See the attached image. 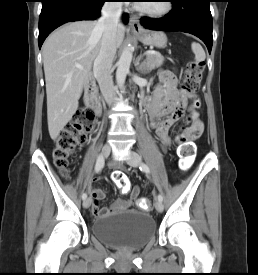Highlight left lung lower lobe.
Masks as SVG:
<instances>
[{
    "instance_id": "1",
    "label": "left lung lower lobe",
    "mask_w": 258,
    "mask_h": 275,
    "mask_svg": "<svg viewBox=\"0 0 258 275\" xmlns=\"http://www.w3.org/2000/svg\"><path fill=\"white\" fill-rule=\"evenodd\" d=\"M172 11L160 19L143 17L141 24L152 30L182 31L199 37L211 52L212 16L210 0H171Z\"/></svg>"
}]
</instances>
